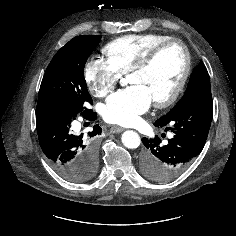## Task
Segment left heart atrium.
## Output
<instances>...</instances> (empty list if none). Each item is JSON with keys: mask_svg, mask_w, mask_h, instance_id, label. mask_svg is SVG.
<instances>
[{"mask_svg": "<svg viewBox=\"0 0 236 236\" xmlns=\"http://www.w3.org/2000/svg\"><path fill=\"white\" fill-rule=\"evenodd\" d=\"M151 103L152 98L146 88L132 85L108 98L102 116L108 123L130 126L149 109Z\"/></svg>", "mask_w": 236, "mask_h": 236, "instance_id": "1", "label": "left heart atrium"}]
</instances>
